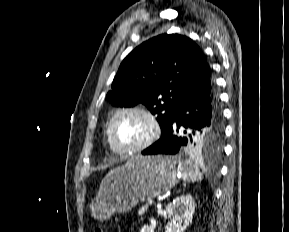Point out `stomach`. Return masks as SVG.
<instances>
[{"label":"stomach","instance_id":"1","mask_svg":"<svg viewBox=\"0 0 289 232\" xmlns=\"http://www.w3.org/2000/svg\"><path fill=\"white\" fill-rule=\"evenodd\" d=\"M177 163L172 156H137L110 171L90 204L92 216L106 220L170 190L177 183Z\"/></svg>","mask_w":289,"mask_h":232}]
</instances>
